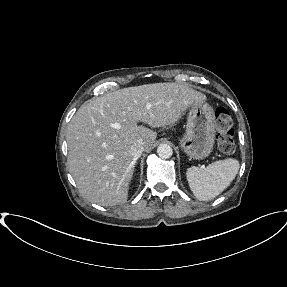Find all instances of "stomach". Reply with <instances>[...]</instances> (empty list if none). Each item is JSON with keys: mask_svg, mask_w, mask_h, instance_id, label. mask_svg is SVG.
Listing matches in <instances>:
<instances>
[{"mask_svg": "<svg viewBox=\"0 0 287 287\" xmlns=\"http://www.w3.org/2000/svg\"><path fill=\"white\" fill-rule=\"evenodd\" d=\"M216 117L213 108L205 102L194 104L187 118L186 132L180 147L192 159H204L213 150Z\"/></svg>", "mask_w": 287, "mask_h": 287, "instance_id": "obj_1", "label": "stomach"}]
</instances>
